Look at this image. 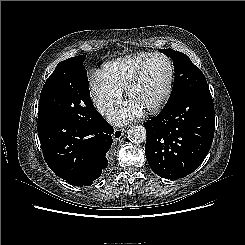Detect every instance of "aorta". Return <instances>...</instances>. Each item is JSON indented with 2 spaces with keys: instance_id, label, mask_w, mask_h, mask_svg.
Segmentation results:
<instances>
[{
  "instance_id": "obj_1",
  "label": "aorta",
  "mask_w": 245,
  "mask_h": 245,
  "mask_svg": "<svg viewBox=\"0 0 245 245\" xmlns=\"http://www.w3.org/2000/svg\"><path fill=\"white\" fill-rule=\"evenodd\" d=\"M127 136L132 143H142L146 140V130L142 125H132L127 131Z\"/></svg>"
}]
</instances>
